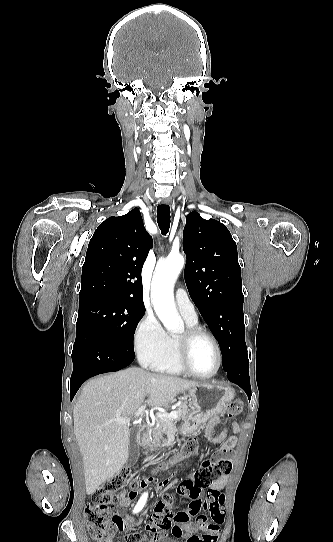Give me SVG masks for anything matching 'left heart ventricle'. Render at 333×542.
<instances>
[{
	"mask_svg": "<svg viewBox=\"0 0 333 542\" xmlns=\"http://www.w3.org/2000/svg\"><path fill=\"white\" fill-rule=\"evenodd\" d=\"M189 364L194 372L202 375L210 374L215 370L217 354L213 344L207 338H198L191 344Z\"/></svg>",
	"mask_w": 333,
	"mask_h": 542,
	"instance_id": "left-heart-ventricle-1",
	"label": "left heart ventricle"
}]
</instances>
